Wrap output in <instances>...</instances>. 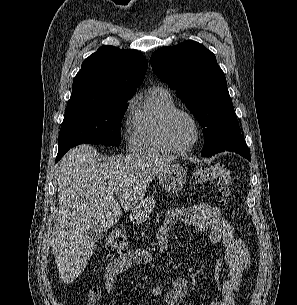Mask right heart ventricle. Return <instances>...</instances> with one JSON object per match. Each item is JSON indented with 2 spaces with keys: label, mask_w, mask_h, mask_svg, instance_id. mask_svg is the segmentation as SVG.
<instances>
[{
  "label": "right heart ventricle",
  "mask_w": 297,
  "mask_h": 305,
  "mask_svg": "<svg viewBox=\"0 0 297 305\" xmlns=\"http://www.w3.org/2000/svg\"><path fill=\"white\" fill-rule=\"evenodd\" d=\"M175 107L174 99L167 89H151L133 116L128 139L131 151L142 154L170 153L160 138L159 124L162 116Z\"/></svg>",
  "instance_id": "1"
}]
</instances>
